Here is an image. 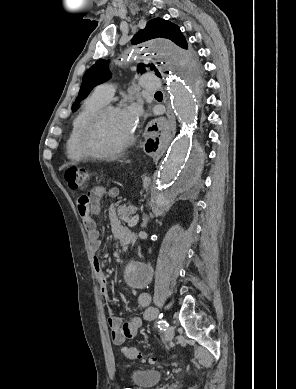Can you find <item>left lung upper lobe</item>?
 I'll return each mask as SVG.
<instances>
[{"instance_id":"5c2ea615","label":"left lung upper lobe","mask_w":296,"mask_h":389,"mask_svg":"<svg viewBox=\"0 0 296 389\" xmlns=\"http://www.w3.org/2000/svg\"><path fill=\"white\" fill-rule=\"evenodd\" d=\"M158 37L170 39L178 46L187 49V42L179 27L161 18H155L149 21L143 30H140L134 35L131 39V43L135 45ZM108 63L109 60L100 59L85 72L79 95L72 106V110L77 108L79 102L85 98L96 85L103 83L110 78L111 73L108 69ZM154 68V65L150 66L151 70ZM192 70L195 74H198L201 68L195 63L192 66ZM138 71L141 73L145 71L143 64L138 65ZM155 71L156 74L161 77L158 70Z\"/></svg>"}]
</instances>
